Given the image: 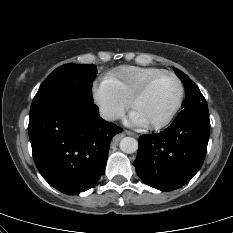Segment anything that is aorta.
Here are the masks:
<instances>
[{
    "instance_id": "aorta-1",
    "label": "aorta",
    "mask_w": 233,
    "mask_h": 233,
    "mask_svg": "<svg viewBox=\"0 0 233 233\" xmlns=\"http://www.w3.org/2000/svg\"><path fill=\"white\" fill-rule=\"evenodd\" d=\"M120 149L127 154L134 153L138 149V142L132 137H124L120 141Z\"/></svg>"
}]
</instances>
